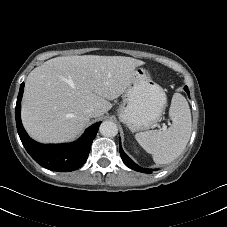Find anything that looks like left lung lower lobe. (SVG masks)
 Returning a JSON list of instances; mask_svg holds the SVG:
<instances>
[{
	"label": "left lung lower lobe",
	"mask_w": 227,
	"mask_h": 227,
	"mask_svg": "<svg viewBox=\"0 0 227 227\" xmlns=\"http://www.w3.org/2000/svg\"><path fill=\"white\" fill-rule=\"evenodd\" d=\"M184 90L187 92V94L189 95V90L188 87L185 86ZM119 151H120V155L121 158L123 160V162L125 163L126 166H128L129 168L138 171V172H142V173H151L153 170L152 169H147V168H142L140 166H138L137 164H135L123 151L122 147H121V142H119Z\"/></svg>",
	"instance_id": "0a47b994"
}]
</instances>
